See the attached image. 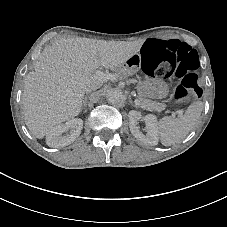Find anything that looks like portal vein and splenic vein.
<instances>
[{"label": "portal vein and splenic vein", "mask_w": 227, "mask_h": 227, "mask_svg": "<svg viewBox=\"0 0 227 227\" xmlns=\"http://www.w3.org/2000/svg\"><path fill=\"white\" fill-rule=\"evenodd\" d=\"M100 79H103L104 81L110 80V81H116L121 79V76L118 73H114V72H103L101 75L96 76ZM141 103L140 99H135L134 100V104L138 105ZM183 114L182 110L179 111H171L170 115L171 116H181Z\"/></svg>", "instance_id": "obj_1"}]
</instances>
